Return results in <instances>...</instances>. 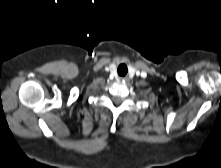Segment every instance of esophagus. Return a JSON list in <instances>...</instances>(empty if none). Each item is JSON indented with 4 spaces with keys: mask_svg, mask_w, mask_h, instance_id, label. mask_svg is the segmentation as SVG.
<instances>
[{
    "mask_svg": "<svg viewBox=\"0 0 221 168\" xmlns=\"http://www.w3.org/2000/svg\"><path fill=\"white\" fill-rule=\"evenodd\" d=\"M121 80H123V81H127L128 78L124 77V78H121Z\"/></svg>",
    "mask_w": 221,
    "mask_h": 168,
    "instance_id": "34e87169",
    "label": "esophagus"
}]
</instances>
